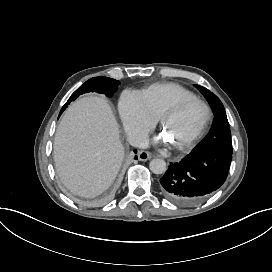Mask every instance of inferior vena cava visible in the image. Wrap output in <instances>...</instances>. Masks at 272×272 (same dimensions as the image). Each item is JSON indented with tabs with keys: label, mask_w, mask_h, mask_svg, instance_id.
<instances>
[{
	"label": "inferior vena cava",
	"mask_w": 272,
	"mask_h": 272,
	"mask_svg": "<svg viewBox=\"0 0 272 272\" xmlns=\"http://www.w3.org/2000/svg\"><path fill=\"white\" fill-rule=\"evenodd\" d=\"M128 143L137 148L147 147V136L144 133H139L137 135H132L127 138Z\"/></svg>",
	"instance_id": "inferior-vena-cava-1"
}]
</instances>
